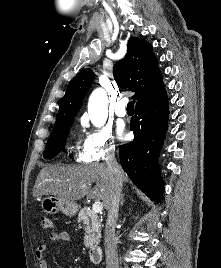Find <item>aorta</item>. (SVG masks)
<instances>
[{
  "instance_id": "1",
  "label": "aorta",
  "mask_w": 221,
  "mask_h": 268,
  "mask_svg": "<svg viewBox=\"0 0 221 268\" xmlns=\"http://www.w3.org/2000/svg\"><path fill=\"white\" fill-rule=\"evenodd\" d=\"M107 104L108 99L104 89L97 88L90 95L88 102V114L91 123L95 127H102L106 123L108 116Z\"/></svg>"
}]
</instances>
